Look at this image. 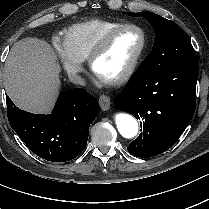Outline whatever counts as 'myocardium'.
<instances>
[{"label":"myocardium","mask_w":209,"mask_h":209,"mask_svg":"<svg viewBox=\"0 0 209 209\" xmlns=\"http://www.w3.org/2000/svg\"><path fill=\"white\" fill-rule=\"evenodd\" d=\"M129 29L137 30L141 34V45H140L139 49L137 50L136 54L132 58V60L129 63V65L127 66V68L121 74H119L115 77H111V78L100 76L99 74H97V72L95 70V64H96L97 60L106 51V49L108 48V46L111 43L112 38L118 32L123 31V30H129ZM147 43H148V36H147L146 31L142 27H140L136 24H132V23H120V24L112 27L111 29H109L100 38L98 43L93 48L92 52L90 53V55L88 57V65L90 67V70L97 77V79H99L101 82L108 84V85H119L124 82H127L128 80H130L134 76L135 72L137 71V68L142 60L145 49L147 47Z\"/></svg>","instance_id":"1"}]
</instances>
